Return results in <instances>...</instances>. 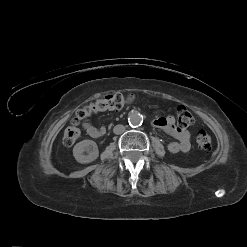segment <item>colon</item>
<instances>
[{
    "label": "colon",
    "mask_w": 247,
    "mask_h": 247,
    "mask_svg": "<svg viewBox=\"0 0 247 247\" xmlns=\"http://www.w3.org/2000/svg\"><path fill=\"white\" fill-rule=\"evenodd\" d=\"M134 101L133 95H123L121 93L109 94L97 99L89 105L79 109L76 112L75 117L72 119V125L67 127L63 134V143L66 146L73 145L80 136V130L78 124L90 117L94 113L120 110L126 105L131 104ZM179 126L185 128L194 123L193 115L184 106H179L177 109ZM211 136L204 130H199L196 133L197 146L202 150H208L211 147Z\"/></svg>",
    "instance_id": "1"
}]
</instances>
